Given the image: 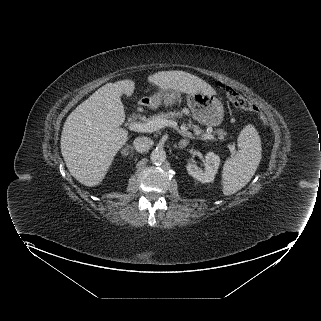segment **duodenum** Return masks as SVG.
Here are the masks:
<instances>
[{
	"mask_svg": "<svg viewBox=\"0 0 321 321\" xmlns=\"http://www.w3.org/2000/svg\"><path fill=\"white\" fill-rule=\"evenodd\" d=\"M146 104H148V100L146 99L141 100L140 105H146Z\"/></svg>",
	"mask_w": 321,
	"mask_h": 321,
	"instance_id": "410a0bca",
	"label": "duodenum"
}]
</instances>
